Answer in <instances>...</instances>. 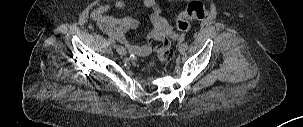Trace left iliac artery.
Masks as SVG:
<instances>
[{
    "label": "left iliac artery",
    "mask_w": 303,
    "mask_h": 127,
    "mask_svg": "<svg viewBox=\"0 0 303 127\" xmlns=\"http://www.w3.org/2000/svg\"><path fill=\"white\" fill-rule=\"evenodd\" d=\"M182 45H183V47H184L186 50L188 49V43H187V42L183 43Z\"/></svg>",
    "instance_id": "1"
}]
</instances>
